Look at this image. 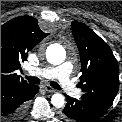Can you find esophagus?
Listing matches in <instances>:
<instances>
[{"mask_svg": "<svg viewBox=\"0 0 122 122\" xmlns=\"http://www.w3.org/2000/svg\"><path fill=\"white\" fill-rule=\"evenodd\" d=\"M43 88H44L47 92H49V93H55V92H56V90H55L54 88H52L51 86H49V85H45V86H43Z\"/></svg>", "mask_w": 122, "mask_h": 122, "instance_id": "1", "label": "esophagus"}]
</instances>
